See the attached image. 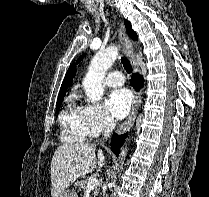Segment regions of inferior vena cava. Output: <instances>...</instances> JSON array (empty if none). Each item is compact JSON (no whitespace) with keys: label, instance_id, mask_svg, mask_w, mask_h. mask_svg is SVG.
I'll return each mask as SVG.
<instances>
[{"label":"inferior vena cava","instance_id":"602c4592","mask_svg":"<svg viewBox=\"0 0 209 197\" xmlns=\"http://www.w3.org/2000/svg\"><path fill=\"white\" fill-rule=\"evenodd\" d=\"M115 125H116V120L111 116H106L105 125H104V138L110 136V133L114 129Z\"/></svg>","mask_w":209,"mask_h":197}]
</instances>
